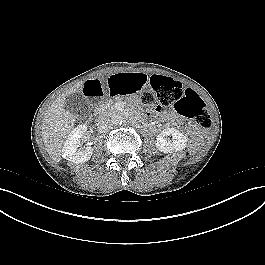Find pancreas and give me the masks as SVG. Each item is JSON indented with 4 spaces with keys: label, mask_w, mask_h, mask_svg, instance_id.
Here are the masks:
<instances>
[{
    "label": "pancreas",
    "mask_w": 265,
    "mask_h": 265,
    "mask_svg": "<svg viewBox=\"0 0 265 265\" xmlns=\"http://www.w3.org/2000/svg\"><path fill=\"white\" fill-rule=\"evenodd\" d=\"M113 111V106L111 103L106 102L97 108V113L102 116H108Z\"/></svg>",
    "instance_id": "obj_1"
}]
</instances>
